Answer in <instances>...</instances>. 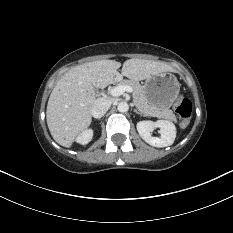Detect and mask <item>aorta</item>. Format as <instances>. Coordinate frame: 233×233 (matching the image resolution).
Instances as JSON below:
<instances>
[{
	"instance_id": "762f6f07",
	"label": "aorta",
	"mask_w": 233,
	"mask_h": 233,
	"mask_svg": "<svg viewBox=\"0 0 233 233\" xmlns=\"http://www.w3.org/2000/svg\"><path fill=\"white\" fill-rule=\"evenodd\" d=\"M117 109L119 112H127L129 109V106L126 102L122 101L118 103Z\"/></svg>"
}]
</instances>
